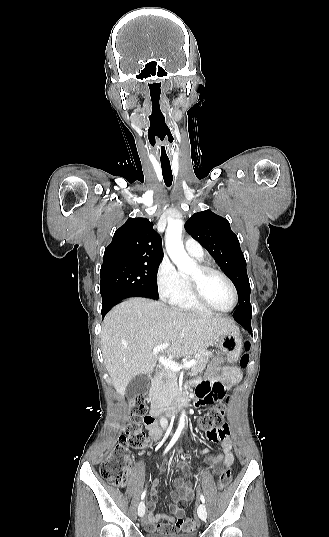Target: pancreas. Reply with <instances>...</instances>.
<instances>
[{
  "label": "pancreas",
  "instance_id": "obj_1",
  "mask_svg": "<svg viewBox=\"0 0 329 537\" xmlns=\"http://www.w3.org/2000/svg\"><path fill=\"white\" fill-rule=\"evenodd\" d=\"M211 356L210 351H202L196 355L194 359L196 363L191 369V374L201 371ZM153 392L168 403L176 400L179 396L176 372L170 369L164 371L154 384Z\"/></svg>",
  "mask_w": 329,
  "mask_h": 537
}]
</instances>
